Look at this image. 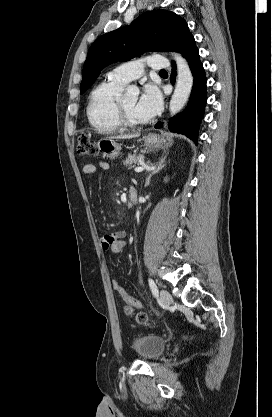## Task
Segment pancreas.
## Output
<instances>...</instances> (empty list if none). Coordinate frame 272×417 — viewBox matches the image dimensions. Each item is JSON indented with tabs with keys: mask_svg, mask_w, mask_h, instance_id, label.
Returning <instances> with one entry per match:
<instances>
[{
	"mask_svg": "<svg viewBox=\"0 0 272 417\" xmlns=\"http://www.w3.org/2000/svg\"><path fill=\"white\" fill-rule=\"evenodd\" d=\"M145 157L143 155H129L124 161L123 164L129 168L135 167V165H139L144 163Z\"/></svg>",
	"mask_w": 272,
	"mask_h": 417,
	"instance_id": "pancreas-1",
	"label": "pancreas"
}]
</instances>
